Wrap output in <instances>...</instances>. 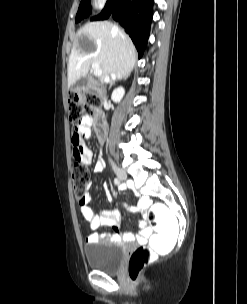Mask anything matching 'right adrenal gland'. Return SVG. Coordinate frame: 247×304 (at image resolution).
Listing matches in <instances>:
<instances>
[{
  "instance_id": "1",
  "label": "right adrenal gland",
  "mask_w": 247,
  "mask_h": 304,
  "mask_svg": "<svg viewBox=\"0 0 247 304\" xmlns=\"http://www.w3.org/2000/svg\"><path fill=\"white\" fill-rule=\"evenodd\" d=\"M124 79H126V77H124ZM119 80V78H117L116 80H114L111 85H110V88L112 87V85H114L115 81Z\"/></svg>"
}]
</instances>
